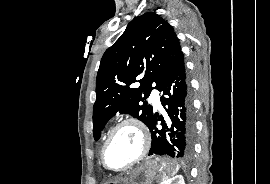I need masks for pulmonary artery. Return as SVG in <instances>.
<instances>
[{
    "label": "pulmonary artery",
    "instance_id": "e3ab8cb5",
    "mask_svg": "<svg viewBox=\"0 0 270 184\" xmlns=\"http://www.w3.org/2000/svg\"><path fill=\"white\" fill-rule=\"evenodd\" d=\"M150 99H151V101L153 102V104H154V106L156 108H159L160 107V105H161V103H160V97H159V94H158L157 91H155V90L152 91L151 96H150Z\"/></svg>",
    "mask_w": 270,
    "mask_h": 184
}]
</instances>
